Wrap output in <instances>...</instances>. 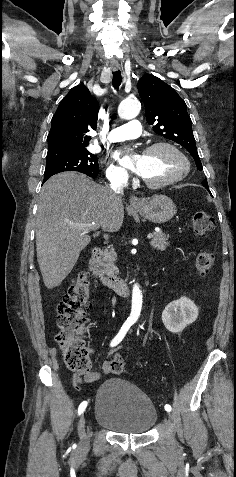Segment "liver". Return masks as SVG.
<instances>
[{"instance_id": "1", "label": "liver", "mask_w": 236, "mask_h": 477, "mask_svg": "<svg viewBox=\"0 0 236 477\" xmlns=\"http://www.w3.org/2000/svg\"><path fill=\"white\" fill-rule=\"evenodd\" d=\"M123 219L122 199H115L110 188L77 172L48 179L39 194L36 218L37 260L45 286L57 287L71 272L91 241L90 230L116 231ZM92 223L94 228L78 226Z\"/></svg>"}]
</instances>
